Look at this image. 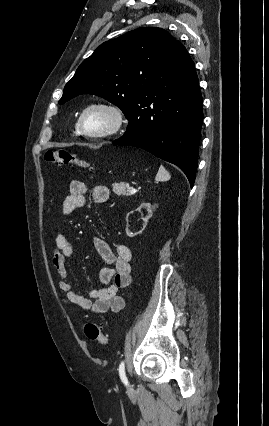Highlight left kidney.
I'll return each instance as SVG.
<instances>
[{
	"label": "left kidney",
	"instance_id": "obj_1",
	"mask_svg": "<svg viewBox=\"0 0 269 426\" xmlns=\"http://www.w3.org/2000/svg\"><path fill=\"white\" fill-rule=\"evenodd\" d=\"M157 208H158L157 204L151 205L150 203H145V202L142 203L138 208H136L135 211L140 212L142 214V216H143L142 210H146L147 213H148L146 217H142L141 218L144 221L143 228H141L140 230H138V229L135 228V222L133 223V227H131L129 225V223H128L127 227H126V234L129 237H134V236L142 233V231L144 230V228L147 225L148 219L151 217L153 211H155ZM132 213H133V211L130 214H132ZM130 214H128V216ZM128 222H131V220H128Z\"/></svg>",
	"mask_w": 269,
	"mask_h": 426
}]
</instances>
